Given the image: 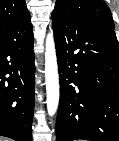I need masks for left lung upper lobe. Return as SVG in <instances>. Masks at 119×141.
I'll return each mask as SVG.
<instances>
[{"mask_svg":"<svg viewBox=\"0 0 119 141\" xmlns=\"http://www.w3.org/2000/svg\"><path fill=\"white\" fill-rule=\"evenodd\" d=\"M52 15L114 31V21L103 0H57Z\"/></svg>","mask_w":119,"mask_h":141,"instance_id":"left-lung-upper-lobe-1","label":"left lung upper lobe"}]
</instances>
